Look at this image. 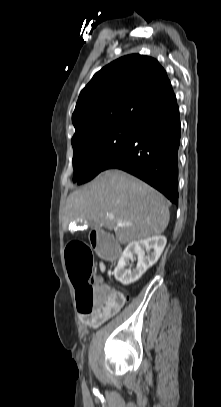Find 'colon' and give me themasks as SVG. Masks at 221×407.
Listing matches in <instances>:
<instances>
[{"mask_svg":"<svg viewBox=\"0 0 221 407\" xmlns=\"http://www.w3.org/2000/svg\"><path fill=\"white\" fill-rule=\"evenodd\" d=\"M91 248L84 242L72 241L66 248V263L76 289L78 310L83 315L114 314L129 300L128 293L110 289L93 278V253L103 261H118L120 248L108 230H92Z\"/></svg>","mask_w":221,"mask_h":407,"instance_id":"obj_1","label":"colon"}]
</instances>
